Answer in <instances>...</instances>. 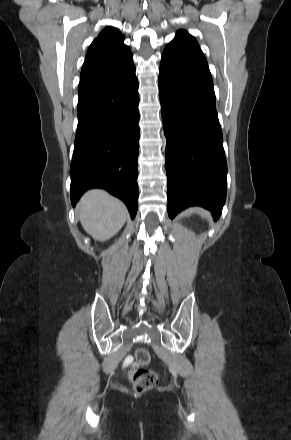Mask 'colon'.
I'll use <instances>...</instances> for the list:
<instances>
[{"instance_id":"5ec220e1","label":"colon","mask_w":291,"mask_h":440,"mask_svg":"<svg viewBox=\"0 0 291 440\" xmlns=\"http://www.w3.org/2000/svg\"><path fill=\"white\" fill-rule=\"evenodd\" d=\"M150 360L151 357L147 350L138 349L136 351V362L139 367L130 370V377L137 392L148 391L158 383V375L154 371L144 368Z\"/></svg>"}]
</instances>
